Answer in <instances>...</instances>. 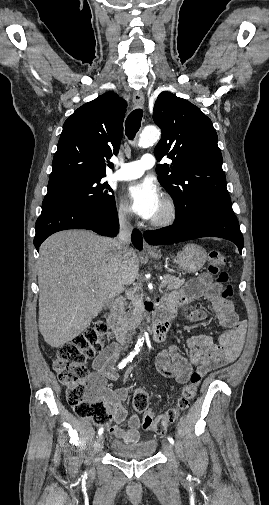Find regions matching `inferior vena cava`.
Instances as JSON below:
<instances>
[{"label":"inferior vena cava","mask_w":269,"mask_h":505,"mask_svg":"<svg viewBox=\"0 0 269 505\" xmlns=\"http://www.w3.org/2000/svg\"><path fill=\"white\" fill-rule=\"evenodd\" d=\"M132 227L126 215L119 216V234L117 237V248L126 251L131 241Z\"/></svg>","instance_id":"602c4592"}]
</instances>
